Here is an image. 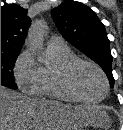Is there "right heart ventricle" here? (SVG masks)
I'll use <instances>...</instances> for the list:
<instances>
[{
	"label": "right heart ventricle",
	"mask_w": 123,
	"mask_h": 130,
	"mask_svg": "<svg viewBox=\"0 0 123 130\" xmlns=\"http://www.w3.org/2000/svg\"><path fill=\"white\" fill-rule=\"evenodd\" d=\"M50 52L56 58L55 66H41L42 75L41 83L37 95L48 97L59 101H73L61 88L58 77L57 67L63 62H66L76 55L68 48H55L49 46Z\"/></svg>",
	"instance_id": "obj_1"
}]
</instances>
